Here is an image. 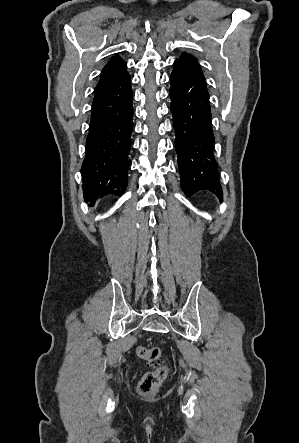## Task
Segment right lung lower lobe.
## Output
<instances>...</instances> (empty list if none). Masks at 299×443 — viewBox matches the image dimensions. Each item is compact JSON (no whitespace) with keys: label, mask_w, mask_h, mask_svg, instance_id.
Listing matches in <instances>:
<instances>
[{"label":"right lung lower lobe","mask_w":299,"mask_h":443,"mask_svg":"<svg viewBox=\"0 0 299 443\" xmlns=\"http://www.w3.org/2000/svg\"><path fill=\"white\" fill-rule=\"evenodd\" d=\"M132 97L128 73L95 93L81 170L84 198L90 205L107 194L122 195L126 189Z\"/></svg>","instance_id":"1"}]
</instances>
